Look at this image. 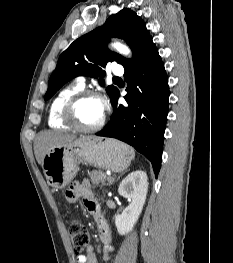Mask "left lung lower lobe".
Listing matches in <instances>:
<instances>
[{
	"instance_id": "0a47b994",
	"label": "left lung lower lobe",
	"mask_w": 233,
	"mask_h": 263,
	"mask_svg": "<svg viewBox=\"0 0 233 263\" xmlns=\"http://www.w3.org/2000/svg\"><path fill=\"white\" fill-rule=\"evenodd\" d=\"M124 69L127 105L117 106L118 91L111 101L114 107L111 120L96 135L116 138L133 146L150 160L157 176L168 114L169 86L164 63L153 41Z\"/></svg>"
}]
</instances>
